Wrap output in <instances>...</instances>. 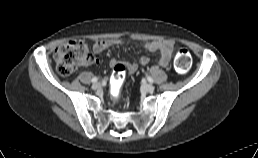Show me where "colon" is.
Here are the masks:
<instances>
[{
  "instance_id": "5ec220e1",
  "label": "colon",
  "mask_w": 258,
  "mask_h": 158,
  "mask_svg": "<svg viewBox=\"0 0 258 158\" xmlns=\"http://www.w3.org/2000/svg\"><path fill=\"white\" fill-rule=\"evenodd\" d=\"M54 59L58 72L63 76L72 74L79 64L91 65L96 62V58L89 51L87 44L81 40H70L62 43L55 50ZM190 65V52L184 47H179L174 59L175 70L179 73H185L190 68ZM113 68L111 85L114 94L117 95L123 87L127 66L124 63H117Z\"/></svg>"
}]
</instances>
